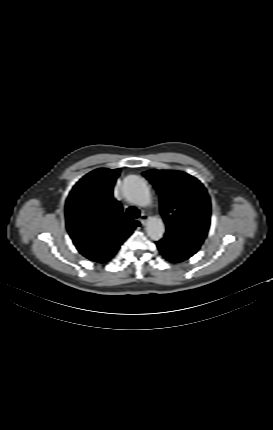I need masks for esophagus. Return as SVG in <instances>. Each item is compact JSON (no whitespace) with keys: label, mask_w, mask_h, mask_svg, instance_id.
<instances>
[{"label":"esophagus","mask_w":273,"mask_h":430,"mask_svg":"<svg viewBox=\"0 0 273 430\" xmlns=\"http://www.w3.org/2000/svg\"><path fill=\"white\" fill-rule=\"evenodd\" d=\"M148 220V216L146 214H141L139 221L141 222L142 225H145L146 222Z\"/></svg>","instance_id":"1"}]
</instances>
